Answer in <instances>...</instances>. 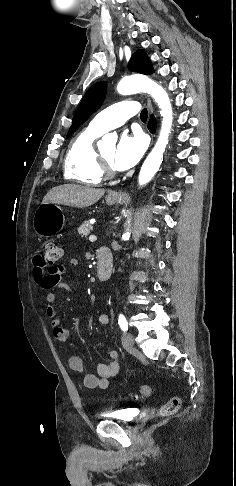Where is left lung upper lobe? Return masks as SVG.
I'll list each match as a JSON object with an SVG mask.
<instances>
[{
	"mask_svg": "<svg viewBox=\"0 0 236 486\" xmlns=\"http://www.w3.org/2000/svg\"><path fill=\"white\" fill-rule=\"evenodd\" d=\"M128 68L131 71H137L146 75L154 72L151 61L143 50H137L133 54ZM106 89V83L101 81L91 86L86 92L76 111L67 138L70 137L81 124L102 105L106 96Z\"/></svg>",
	"mask_w": 236,
	"mask_h": 486,
	"instance_id": "5c2ea615",
	"label": "left lung upper lobe"
}]
</instances>
